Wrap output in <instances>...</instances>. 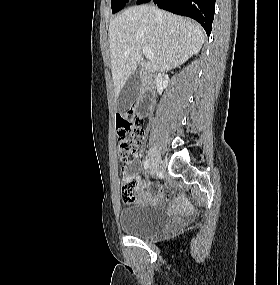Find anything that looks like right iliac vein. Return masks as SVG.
<instances>
[{
	"instance_id": "obj_1",
	"label": "right iliac vein",
	"mask_w": 280,
	"mask_h": 285,
	"mask_svg": "<svg viewBox=\"0 0 280 285\" xmlns=\"http://www.w3.org/2000/svg\"><path fill=\"white\" fill-rule=\"evenodd\" d=\"M163 169L162 161L159 153L155 147L151 149L150 153V173L155 175L157 172Z\"/></svg>"
}]
</instances>
